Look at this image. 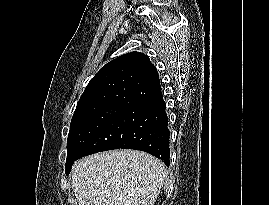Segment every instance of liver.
Segmentation results:
<instances>
[{
	"label": "liver",
	"instance_id": "obj_1",
	"mask_svg": "<svg viewBox=\"0 0 269 205\" xmlns=\"http://www.w3.org/2000/svg\"><path fill=\"white\" fill-rule=\"evenodd\" d=\"M165 166L137 150H112L77 161L72 188L79 205H154Z\"/></svg>",
	"mask_w": 269,
	"mask_h": 205
}]
</instances>
